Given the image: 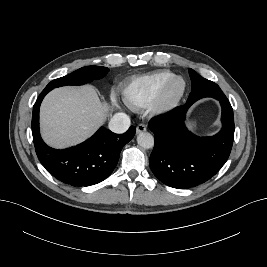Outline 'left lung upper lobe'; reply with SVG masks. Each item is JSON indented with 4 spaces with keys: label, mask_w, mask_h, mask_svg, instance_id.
<instances>
[{
    "label": "left lung upper lobe",
    "mask_w": 267,
    "mask_h": 267,
    "mask_svg": "<svg viewBox=\"0 0 267 267\" xmlns=\"http://www.w3.org/2000/svg\"><path fill=\"white\" fill-rule=\"evenodd\" d=\"M189 75L192 82V90L189 96L208 89H213L217 94H224L216 83L201 77L193 69L189 68Z\"/></svg>",
    "instance_id": "1"
}]
</instances>
